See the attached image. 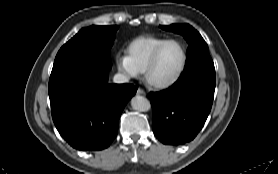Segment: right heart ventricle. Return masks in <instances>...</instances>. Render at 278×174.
Wrapping results in <instances>:
<instances>
[{
	"mask_svg": "<svg viewBox=\"0 0 278 174\" xmlns=\"http://www.w3.org/2000/svg\"><path fill=\"white\" fill-rule=\"evenodd\" d=\"M163 41V38L141 36L130 43L127 49L128 58L139 73L145 71L151 54Z\"/></svg>",
	"mask_w": 278,
	"mask_h": 174,
	"instance_id": "1",
	"label": "right heart ventricle"
}]
</instances>
